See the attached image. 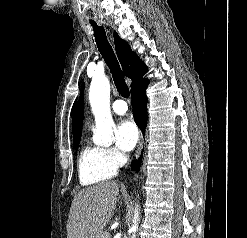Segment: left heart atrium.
<instances>
[{"instance_id": "39dd6f15", "label": "left heart atrium", "mask_w": 247, "mask_h": 238, "mask_svg": "<svg viewBox=\"0 0 247 238\" xmlns=\"http://www.w3.org/2000/svg\"><path fill=\"white\" fill-rule=\"evenodd\" d=\"M139 133L136 125L128 119L122 120L115 129V142L123 152L132 150L138 142Z\"/></svg>"}]
</instances>
